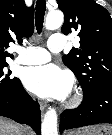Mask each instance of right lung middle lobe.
Returning <instances> with one entry per match:
<instances>
[{"instance_id":"dd1d6c3e","label":"right lung middle lobe","mask_w":112,"mask_h":135,"mask_svg":"<svg viewBox=\"0 0 112 135\" xmlns=\"http://www.w3.org/2000/svg\"><path fill=\"white\" fill-rule=\"evenodd\" d=\"M7 66L6 61H0V92H6L10 90L20 80L16 77H12L10 70H5Z\"/></svg>"}]
</instances>
